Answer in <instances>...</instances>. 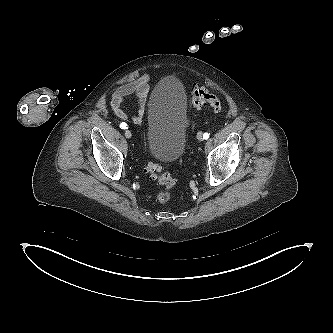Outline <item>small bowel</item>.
<instances>
[{"instance_id":"1","label":"small bowel","mask_w":333,"mask_h":333,"mask_svg":"<svg viewBox=\"0 0 333 333\" xmlns=\"http://www.w3.org/2000/svg\"><path fill=\"white\" fill-rule=\"evenodd\" d=\"M149 80V75L145 74L135 81L115 90L111 97L110 106L118 118L121 120L129 119V115L122 109V104L128 97H134L138 104V110L136 114L132 115L130 118L138 125L143 122L149 93Z\"/></svg>"}]
</instances>
